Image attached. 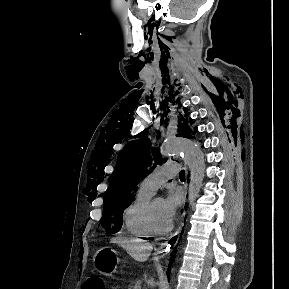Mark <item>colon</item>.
Returning a JSON list of instances; mask_svg holds the SVG:
<instances>
[{
	"label": "colon",
	"mask_w": 289,
	"mask_h": 289,
	"mask_svg": "<svg viewBox=\"0 0 289 289\" xmlns=\"http://www.w3.org/2000/svg\"><path fill=\"white\" fill-rule=\"evenodd\" d=\"M84 289H104V284L100 279L91 278L86 281Z\"/></svg>",
	"instance_id": "5ec220e1"
}]
</instances>
